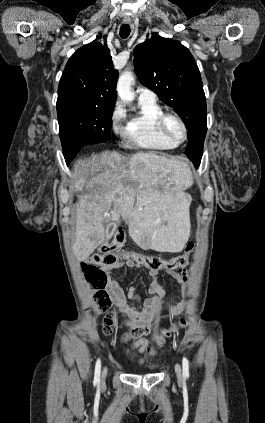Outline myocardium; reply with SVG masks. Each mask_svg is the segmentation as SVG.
Returning a JSON list of instances; mask_svg holds the SVG:
<instances>
[{
	"mask_svg": "<svg viewBox=\"0 0 265 423\" xmlns=\"http://www.w3.org/2000/svg\"><path fill=\"white\" fill-rule=\"evenodd\" d=\"M170 119L176 120L181 125L183 133H182V136L180 138H176L170 133V131L168 129V121ZM158 129L165 138L169 139L170 141H172L176 144L183 143L188 137V126H187L186 122L184 121V119L182 117H180L178 114H176L174 112H163L159 116V118H158Z\"/></svg>",
	"mask_w": 265,
	"mask_h": 423,
	"instance_id": "obj_1",
	"label": "myocardium"
}]
</instances>
